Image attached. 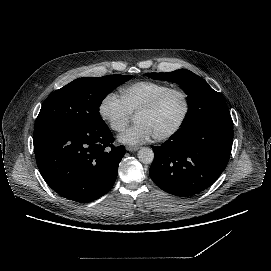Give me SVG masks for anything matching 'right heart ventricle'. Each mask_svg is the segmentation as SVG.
Segmentation results:
<instances>
[{"mask_svg":"<svg viewBox=\"0 0 271 271\" xmlns=\"http://www.w3.org/2000/svg\"><path fill=\"white\" fill-rule=\"evenodd\" d=\"M170 87L165 82L141 80L123 86L120 91L124 105L134 115Z\"/></svg>","mask_w":271,"mask_h":271,"instance_id":"e07e8e85","label":"right heart ventricle"}]
</instances>
